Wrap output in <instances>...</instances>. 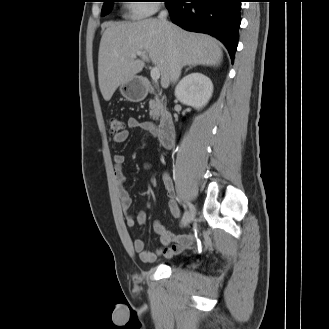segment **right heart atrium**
Returning a JSON list of instances; mask_svg holds the SVG:
<instances>
[{"label": "right heart atrium", "mask_w": 329, "mask_h": 329, "mask_svg": "<svg viewBox=\"0 0 329 329\" xmlns=\"http://www.w3.org/2000/svg\"><path fill=\"white\" fill-rule=\"evenodd\" d=\"M130 2L128 12L135 19L148 17L158 10L157 0H131Z\"/></svg>", "instance_id": "right-heart-atrium-1"}]
</instances>
